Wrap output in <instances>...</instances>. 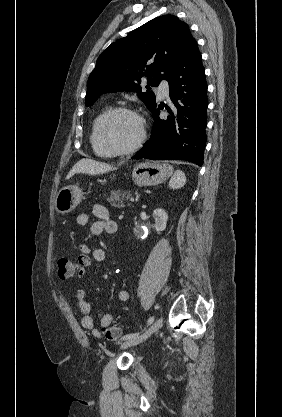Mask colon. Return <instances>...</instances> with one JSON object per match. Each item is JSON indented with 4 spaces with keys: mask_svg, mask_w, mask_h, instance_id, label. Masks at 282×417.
<instances>
[{
    "mask_svg": "<svg viewBox=\"0 0 282 417\" xmlns=\"http://www.w3.org/2000/svg\"><path fill=\"white\" fill-rule=\"evenodd\" d=\"M59 276L61 278H70L75 275H81L84 269V266H74L73 258L63 256L59 259ZM106 338L109 344H114L117 339L123 338V331L120 330L117 323L113 324L106 331Z\"/></svg>",
    "mask_w": 282,
    "mask_h": 417,
    "instance_id": "5ec220e1",
    "label": "colon"
}]
</instances>
